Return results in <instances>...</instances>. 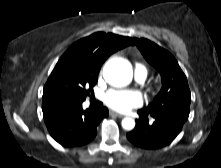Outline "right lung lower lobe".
I'll return each instance as SVG.
<instances>
[{
	"label": "right lung lower lobe",
	"instance_id": "obj_1",
	"mask_svg": "<svg viewBox=\"0 0 221 168\" xmlns=\"http://www.w3.org/2000/svg\"><path fill=\"white\" fill-rule=\"evenodd\" d=\"M83 101L60 97L43 98L42 111L51 136L67 147L89 143L97 134L100 121L108 109L98 102L94 108L83 110Z\"/></svg>",
	"mask_w": 221,
	"mask_h": 168
}]
</instances>
